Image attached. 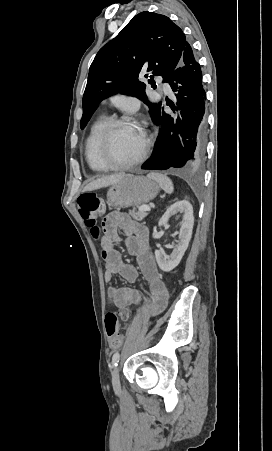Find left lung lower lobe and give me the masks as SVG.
I'll use <instances>...</instances> for the list:
<instances>
[{
    "label": "left lung lower lobe",
    "instance_id": "0a47b994",
    "mask_svg": "<svg viewBox=\"0 0 272 451\" xmlns=\"http://www.w3.org/2000/svg\"><path fill=\"white\" fill-rule=\"evenodd\" d=\"M168 83L176 92L177 118L160 113L156 124L161 126L152 157L142 168L165 170L191 169L205 158L206 93L201 66L188 43Z\"/></svg>",
    "mask_w": 272,
    "mask_h": 451
}]
</instances>
